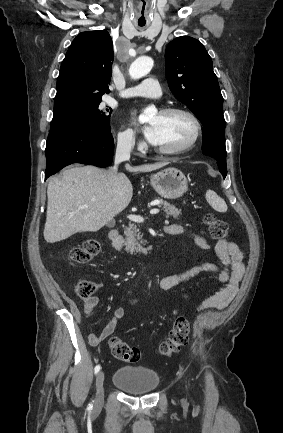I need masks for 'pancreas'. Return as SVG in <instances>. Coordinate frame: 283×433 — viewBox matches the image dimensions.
Returning <instances> with one entry per match:
<instances>
[{
    "mask_svg": "<svg viewBox=\"0 0 283 433\" xmlns=\"http://www.w3.org/2000/svg\"><path fill=\"white\" fill-rule=\"evenodd\" d=\"M154 200H159L157 206H162V208H164V212H166L165 217H170V214H172L173 219H178L179 214H181L180 208H176L174 204H170V202L163 200L160 196H157ZM124 235L126 237L125 251H128L130 255H137V253H144V255H147L148 251H150L149 247H146V249L141 247L145 241H142L139 229L136 225H129L128 229H125Z\"/></svg>",
    "mask_w": 283,
    "mask_h": 433,
    "instance_id": "pancreas-1",
    "label": "pancreas"
}]
</instances>
